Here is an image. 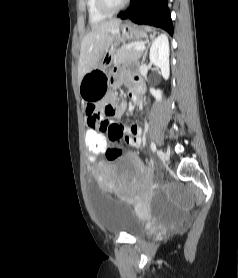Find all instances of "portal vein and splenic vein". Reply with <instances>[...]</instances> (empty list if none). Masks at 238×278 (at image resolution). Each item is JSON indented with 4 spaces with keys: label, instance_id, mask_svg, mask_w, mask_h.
I'll return each mask as SVG.
<instances>
[{
    "label": "portal vein and splenic vein",
    "instance_id": "18ae733b",
    "mask_svg": "<svg viewBox=\"0 0 238 278\" xmlns=\"http://www.w3.org/2000/svg\"><path fill=\"white\" fill-rule=\"evenodd\" d=\"M145 46L143 44H137L135 47H134V50H138V51H141V50H144Z\"/></svg>",
    "mask_w": 238,
    "mask_h": 278
}]
</instances>
